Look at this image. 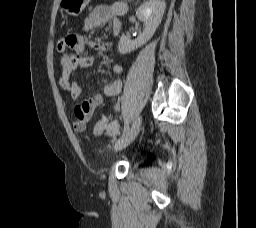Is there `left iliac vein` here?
I'll return each instance as SVG.
<instances>
[{
  "instance_id": "1",
  "label": "left iliac vein",
  "mask_w": 256,
  "mask_h": 228,
  "mask_svg": "<svg viewBox=\"0 0 256 228\" xmlns=\"http://www.w3.org/2000/svg\"><path fill=\"white\" fill-rule=\"evenodd\" d=\"M142 123V117L138 116L132 126L128 129V131L121 136V138L116 142L114 149L116 151L121 150L127 147L138 135Z\"/></svg>"
}]
</instances>
